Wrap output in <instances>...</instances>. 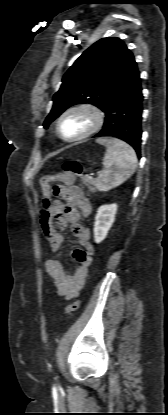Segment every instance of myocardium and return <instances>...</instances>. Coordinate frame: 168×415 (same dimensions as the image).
<instances>
[{
  "label": "myocardium",
  "mask_w": 168,
  "mask_h": 415,
  "mask_svg": "<svg viewBox=\"0 0 168 415\" xmlns=\"http://www.w3.org/2000/svg\"><path fill=\"white\" fill-rule=\"evenodd\" d=\"M75 111L87 112L92 118V124L90 128L83 134L73 137V138H67L62 134L61 122L66 115H68L69 113L75 112ZM104 120H105V114L99 106H97L96 104L90 103V102H82V103H78V104L68 107L66 110H64L61 113L56 123V131H57L58 136L62 140L66 142H77V141L84 140L92 136L93 134H95L97 131H99L100 128L103 126Z\"/></svg>",
  "instance_id": "obj_1"
}]
</instances>
